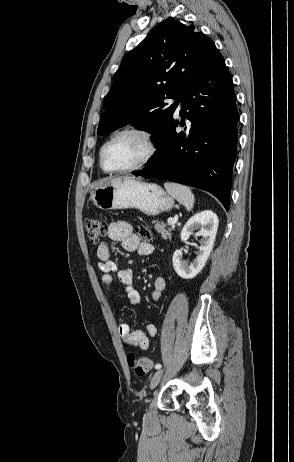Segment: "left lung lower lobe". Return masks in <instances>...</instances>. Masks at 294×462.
<instances>
[{"label":"left lung lower lobe","mask_w":294,"mask_h":462,"mask_svg":"<svg viewBox=\"0 0 294 462\" xmlns=\"http://www.w3.org/2000/svg\"><path fill=\"white\" fill-rule=\"evenodd\" d=\"M178 101L180 115L190 121L188 128L176 133L177 125H184V118L180 123L173 119L156 144L159 154L134 174L206 190L228 210L239 114L224 60L203 70Z\"/></svg>","instance_id":"1"}]
</instances>
